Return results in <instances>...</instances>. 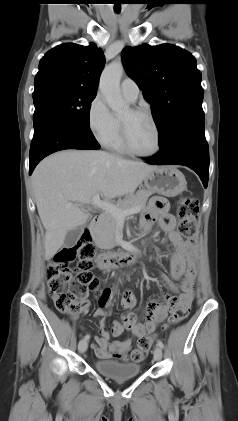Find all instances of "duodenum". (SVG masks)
Wrapping results in <instances>:
<instances>
[{"label": "duodenum", "instance_id": "410a0bca", "mask_svg": "<svg viewBox=\"0 0 238 421\" xmlns=\"http://www.w3.org/2000/svg\"><path fill=\"white\" fill-rule=\"evenodd\" d=\"M99 223V217H93L89 222L88 229L93 230ZM138 258L137 251L102 254L97 259L99 269L107 270L120 266L130 265Z\"/></svg>", "mask_w": 238, "mask_h": 421}]
</instances>
